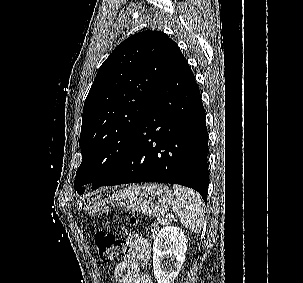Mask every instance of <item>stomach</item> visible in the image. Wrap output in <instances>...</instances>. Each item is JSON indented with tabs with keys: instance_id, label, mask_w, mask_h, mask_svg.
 <instances>
[{
	"instance_id": "1",
	"label": "stomach",
	"mask_w": 303,
	"mask_h": 283,
	"mask_svg": "<svg viewBox=\"0 0 303 283\" xmlns=\"http://www.w3.org/2000/svg\"><path fill=\"white\" fill-rule=\"evenodd\" d=\"M174 195L165 185L150 184L134 186L117 191L107 198H94L84 206L90 215L108 212L111 207L141 212L146 216L158 217L165 214L173 203Z\"/></svg>"
}]
</instances>
